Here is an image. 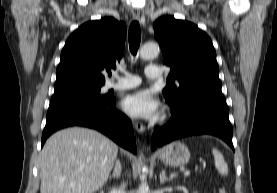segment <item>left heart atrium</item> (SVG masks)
Instances as JSON below:
<instances>
[{"instance_id": "39dd6f15", "label": "left heart atrium", "mask_w": 277, "mask_h": 193, "mask_svg": "<svg viewBox=\"0 0 277 193\" xmlns=\"http://www.w3.org/2000/svg\"><path fill=\"white\" fill-rule=\"evenodd\" d=\"M123 109L134 118L154 119L158 115L159 102L147 90H140L126 96Z\"/></svg>"}]
</instances>
